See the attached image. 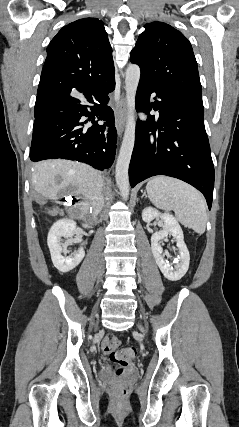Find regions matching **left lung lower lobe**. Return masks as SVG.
<instances>
[{"label": "left lung lower lobe", "instance_id": "1", "mask_svg": "<svg viewBox=\"0 0 239 427\" xmlns=\"http://www.w3.org/2000/svg\"><path fill=\"white\" fill-rule=\"evenodd\" d=\"M152 92L161 101L150 103ZM151 108L159 110L158 120L149 114ZM136 109L148 114V118L136 124L129 166L131 187L155 175L175 177L201 191L211 209L214 167L203 103L140 79Z\"/></svg>", "mask_w": 239, "mask_h": 427}]
</instances>
